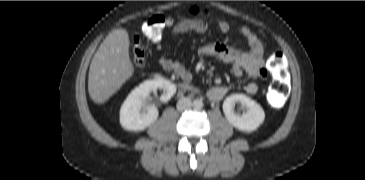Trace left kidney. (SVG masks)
<instances>
[{"mask_svg": "<svg viewBox=\"0 0 365 180\" xmlns=\"http://www.w3.org/2000/svg\"><path fill=\"white\" fill-rule=\"evenodd\" d=\"M236 103H240L246 109V112H243L241 115L235 113L234 107ZM223 112L230 124L245 132L256 130L265 119L262 107L243 94H233L227 97L223 103Z\"/></svg>", "mask_w": 365, "mask_h": 180, "instance_id": "1", "label": "left kidney"}]
</instances>
